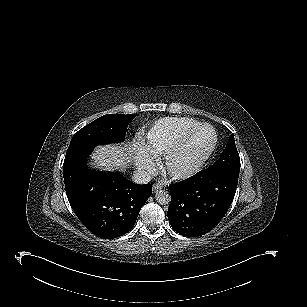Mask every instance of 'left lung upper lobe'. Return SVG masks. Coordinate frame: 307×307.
I'll use <instances>...</instances> for the list:
<instances>
[{"instance_id": "1", "label": "left lung upper lobe", "mask_w": 307, "mask_h": 307, "mask_svg": "<svg viewBox=\"0 0 307 307\" xmlns=\"http://www.w3.org/2000/svg\"><path fill=\"white\" fill-rule=\"evenodd\" d=\"M205 170L213 172L215 174L231 173L236 176H239L240 158L236 149L233 134H231L220 158L211 167Z\"/></svg>"}]
</instances>
